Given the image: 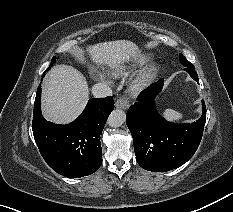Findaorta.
<instances>
[{"label": "aorta", "mask_w": 233, "mask_h": 212, "mask_svg": "<svg viewBox=\"0 0 233 212\" xmlns=\"http://www.w3.org/2000/svg\"><path fill=\"white\" fill-rule=\"evenodd\" d=\"M125 119H126L125 112L120 109H116L111 112L107 122L109 126L116 128V127H120L125 122Z\"/></svg>", "instance_id": "762f6f07"}]
</instances>
